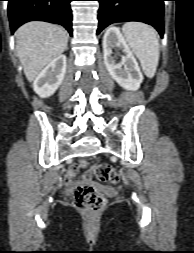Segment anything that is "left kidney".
<instances>
[{"instance_id":"5707ae66","label":"left kidney","mask_w":194,"mask_h":253,"mask_svg":"<svg viewBox=\"0 0 194 253\" xmlns=\"http://www.w3.org/2000/svg\"><path fill=\"white\" fill-rule=\"evenodd\" d=\"M120 49L125 55L116 63L112 48ZM103 54L105 66L111 77L124 89L136 91L143 81L138 63L130 51L124 37L116 27L109 28L103 37Z\"/></svg>"}]
</instances>
